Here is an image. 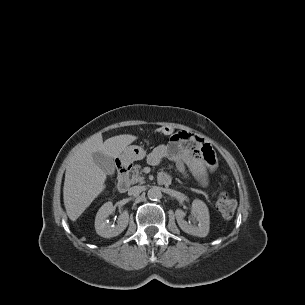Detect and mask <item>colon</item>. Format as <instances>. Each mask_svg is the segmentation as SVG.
I'll return each mask as SVG.
<instances>
[{
  "mask_svg": "<svg viewBox=\"0 0 305 305\" xmlns=\"http://www.w3.org/2000/svg\"><path fill=\"white\" fill-rule=\"evenodd\" d=\"M162 134H173L174 129L172 127H162L158 130ZM237 207V201L230 196L227 192H222L217 200V208L221 214L225 217H231Z\"/></svg>",
  "mask_w": 305,
  "mask_h": 305,
  "instance_id": "obj_1",
  "label": "colon"
}]
</instances>
